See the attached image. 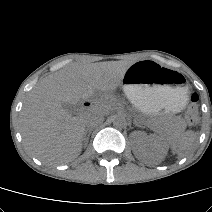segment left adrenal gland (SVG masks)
<instances>
[{
	"label": "left adrenal gland",
	"instance_id": "left-adrenal-gland-1",
	"mask_svg": "<svg viewBox=\"0 0 212 212\" xmlns=\"http://www.w3.org/2000/svg\"><path fill=\"white\" fill-rule=\"evenodd\" d=\"M135 126L139 127L140 125L138 123L135 122Z\"/></svg>",
	"mask_w": 212,
	"mask_h": 212
}]
</instances>
